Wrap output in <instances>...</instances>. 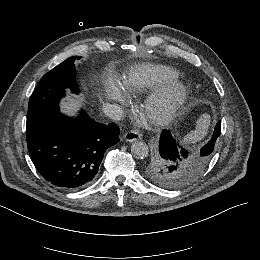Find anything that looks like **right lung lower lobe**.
Returning a JSON list of instances; mask_svg holds the SVG:
<instances>
[{
  "label": "right lung lower lobe",
  "mask_w": 260,
  "mask_h": 260,
  "mask_svg": "<svg viewBox=\"0 0 260 260\" xmlns=\"http://www.w3.org/2000/svg\"><path fill=\"white\" fill-rule=\"evenodd\" d=\"M119 128L58 113L26 131L29 154L43 178L63 190L90 185L107 148L118 143Z\"/></svg>",
  "instance_id": "right-lung-lower-lobe-1"
}]
</instances>
